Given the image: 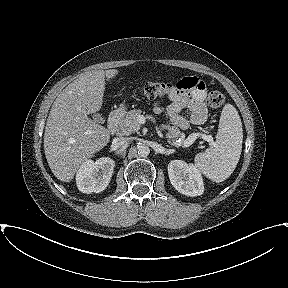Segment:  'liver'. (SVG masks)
I'll return each instance as SVG.
<instances>
[{
  "instance_id": "1",
  "label": "liver",
  "mask_w": 288,
  "mask_h": 288,
  "mask_svg": "<svg viewBox=\"0 0 288 288\" xmlns=\"http://www.w3.org/2000/svg\"><path fill=\"white\" fill-rule=\"evenodd\" d=\"M118 70H95L68 84L52 105L44 133V151L57 179L69 182L80 166L104 148L110 132L88 117L103 104L105 77Z\"/></svg>"
}]
</instances>
